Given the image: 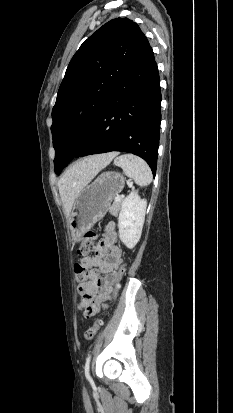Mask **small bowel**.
<instances>
[{
    "instance_id": "obj_1",
    "label": "small bowel",
    "mask_w": 233,
    "mask_h": 413,
    "mask_svg": "<svg viewBox=\"0 0 233 413\" xmlns=\"http://www.w3.org/2000/svg\"><path fill=\"white\" fill-rule=\"evenodd\" d=\"M122 261V249L117 244L116 225L108 222L95 256L82 261L83 265L91 268L89 279L77 288L79 305L87 316H93L99 305L107 307L119 278Z\"/></svg>"
}]
</instances>
